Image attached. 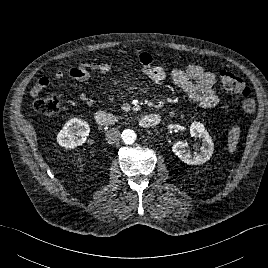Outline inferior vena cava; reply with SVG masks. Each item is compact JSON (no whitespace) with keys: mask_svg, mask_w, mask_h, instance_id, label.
I'll list each match as a JSON object with an SVG mask.
<instances>
[{"mask_svg":"<svg viewBox=\"0 0 268 268\" xmlns=\"http://www.w3.org/2000/svg\"><path fill=\"white\" fill-rule=\"evenodd\" d=\"M105 136L109 144H114L119 142L121 132L117 128H111L106 132Z\"/></svg>","mask_w":268,"mask_h":268,"instance_id":"obj_1","label":"inferior vena cava"}]
</instances>
